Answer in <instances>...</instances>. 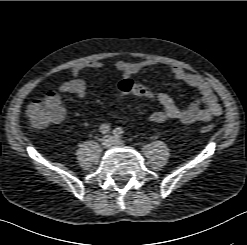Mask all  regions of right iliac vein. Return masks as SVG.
Returning <instances> with one entry per match:
<instances>
[{
  "label": "right iliac vein",
  "mask_w": 247,
  "mask_h": 245,
  "mask_svg": "<svg viewBox=\"0 0 247 245\" xmlns=\"http://www.w3.org/2000/svg\"><path fill=\"white\" fill-rule=\"evenodd\" d=\"M114 144V139L110 135H106L101 140V145L104 149L110 148Z\"/></svg>",
  "instance_id": "obj_1"
}]
</instances>
